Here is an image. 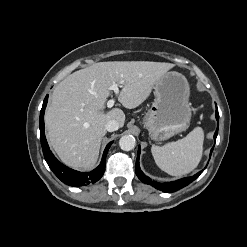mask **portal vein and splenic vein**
<instances>
[{"mask_svg": "<svg viewBox=\"0 0 247 247\" xmlns=\"http://www.w3.org/2000/svg\"><path fill=\"white\" fill-rule=\"evenodd\" d=\"M119 86H120L119 84L114 83V84H112V85L110 86V90H113L114 93H115L116 95H118V94H119ZM114 103H115V100H114V99H110V100L107 102V107H108V108H112L113 105H114Z\"/></svg>", "mask_w": 247, "mask_h": 247, "instance_id": "portal-vein-and-splenic-vein-1", "label": "portal vein and splenic vein"}]
</instances>
